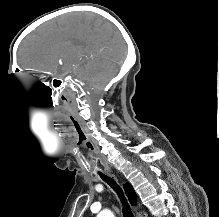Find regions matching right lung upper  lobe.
Returning <instances> with one entry per match:
<instances>
[{
  "label": "right lung upper lobe",
  "instance_id": "right-lung-upper-lobe-1",
  "mask_svg": "<svg viewBox=\"0 0 219 217\" xmlns=\"http://www.w3.org/2000/svg\"><path fill=\"white\" fill-rule=\"evenodd\" d=\"M124 190H125L126 195L129 199V202L131 203V205L134 206L136 204V193L133 190L132 186L130 184H125Z\"/></svg>",
  "mask_w": 219,
  "mask_h": 217
}]
</instances>
